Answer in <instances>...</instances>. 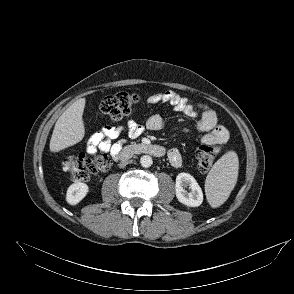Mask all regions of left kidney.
Returning <instances> with one entry per match:
<instances>
[{
  "instance_id": "left-kidney-1",
  "label": "left kidney",
  "mask_w": 294,
  "mask_h": 294,
  "mask_svg": "<svg viewBox=\"0 0 294 294\" xmlns=\"http://www.w3.org/2000/svg\"><path fill=\"white\" fill-rule=\"evenodd\" d=\"M185 187H189L191 192H187ZM176 197L179 202L189 207H198L203 202L201 187L193 176L188 173H179L175 184Z\"/></svg>"
}]
</instances>
